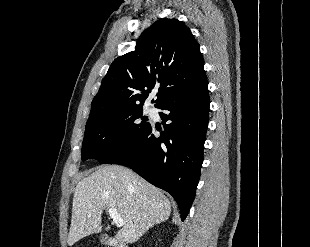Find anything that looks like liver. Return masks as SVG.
Instances as JSON below:
<instances>
[{
  "mask_svg": "<svg viewBox=\"0 0 310 247\" xmlns=\"http://www.w3.org/2000/svg\"><path fill=\"white\" fill-rule=\"evenodd\" d=\"M110 208H116L124 221L116 239L127 244L166 221L171 213V203L164 193L130 169L101 166L75 188L68 245L100 232L102 213Z\"/></svg>",
  "mask_w": 310,
  "mask_h": 247,
  "instance_id": "liver-1",
  "label": "liver"
}]
</instances>
